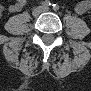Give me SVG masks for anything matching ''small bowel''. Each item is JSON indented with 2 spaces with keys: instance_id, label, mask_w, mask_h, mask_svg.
<instances>
[{
  "instance_id": "small-bowel-1",
  "label": "small bowel",
  "mask_w": 91,
  "mask_h": 91,
  "mask_svg": "<svg viewBox=\"0 0 91 91\" xmlns=\"http://www.w3.org/2000/svg\"><path fill=\"white\" fill-rule=\"evenodd\" d=\"M25 6V0H17L8 7L9 12L20 11ZM91 7V3L88 0H83L76 6V11L80 14L87 12Z\"/></svg>"
}]
</instances>
